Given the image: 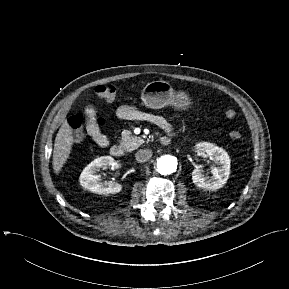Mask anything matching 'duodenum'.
Returning <instances> with one entry per match:
<instances>
[{
    "label": "duodenum",
    "instance_id": "obj_1",
    "mask_svg": "<svg viewBox=\"0 0 289 289\" xmlns=\"http://www.w3.org/2000/svg\"><path fill=\"white\" fill-rule=\"evenodd\" d=\"M162 143L163 144L168 143V138H166V137L162 138ZM110 154L114 157H121L124 154V150H123L122 146L115 144V145L111 146Z\"/></svg>",
    "mask_w": 289,
    "mask_h": 289
}]
</instances>
